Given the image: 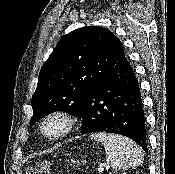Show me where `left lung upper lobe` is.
<instances>
[{
	"mask_svg": "<svg viewBox=\"0 0 175 174\" xmlns=\"http://www.w3.org/2000/svg\"><path fill=\"white\" fill-rule=\"evenodd\" d=\"M123 52L120 40L105 28L83 27L64 36L40 71L30 125L55 111L79 116L85 95L111 72Z\"/></svg>",
	"mask_w": 175,
	"mask_h": 174,
	"instance_id": "1",
	"label": "left lung upper lobe"
}]
</instances>
